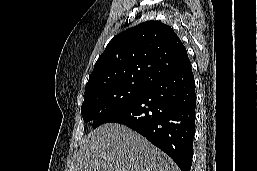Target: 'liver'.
Instances as JSON below:
<instances>
[{
  "label": "liver",
  "instance_id": "obj_1",
  "mask_svg": "<svg viewBox=\"0 0 257 171\" xmlns=\"http://www.w3.org/2000/svg\"><path fill=\"white\" fill-rule=\"evenodd\" d=\"M71 171H180L161 150L130 128L107 123L89 133Z\"/></svg>",
  "mask_w": 257,
  "mask_h": 171
}]
</instances>
